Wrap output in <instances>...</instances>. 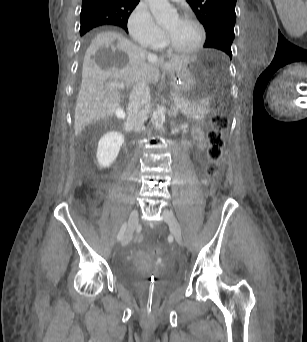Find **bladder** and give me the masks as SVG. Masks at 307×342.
<instances>
[{
	"label": "bladder",
	"instance_id": "bladder-1",
	"mask_svg": "<svg viewBox=\"0 0 307 342\" xmlns=\"http://www.w3.org/2000/svg\"><path fill=\"white\" fill-rule=\"evenodd\" d=\"M121 282L137 293H147L154 286V293L161 296L171 290L177 283V276H170L164 280L152 283L150 273L136 265H125L119 275Z\"/></svg>",
	"mask_w": 307,
	"mask_h": 342
}]
</instances>
